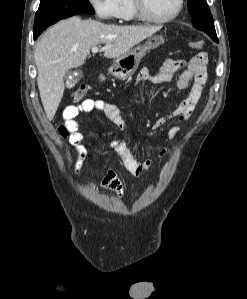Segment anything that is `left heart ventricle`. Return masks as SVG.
Wrapping results in <instances>:
<instances>
[{"label":"left heart ventricle","instance_id":"b2bd125f","mask_svg":"<svg viewBox=\"0 0 247 299\" xmlns=\"http://www.w3.org/2000/svg\"><path fill=\"white\" fill-rule=\"evenodd\" d=\"M149 15L156 18L170 16L177 7V0H144Z\"/></svg>","mask_w":247,"mask_h":299}]
</instances>
